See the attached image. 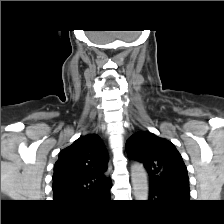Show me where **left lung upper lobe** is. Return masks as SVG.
Instances as JSON below:
<instances>
[{"mask_svg": "<svg viewBox=\"0 0 224 224\" xmlns=\"http://www.w3.org/2000/svg\"><path fill=\"white\" fill-rule=\"evenodd\" d=\"M128 157L143 163L150 186L189 192L186 166L175 146L153 133L140 131L126 143Z\"/></svg>", "mask_w": 224, "mask_h": 224, "instance_id": "1", "label": "left lung upper lobe"}]
</instances>
